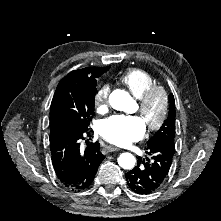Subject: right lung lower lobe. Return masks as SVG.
Listing matches in <instances>:
<instances>
[{"mask_svg":"<svg viewBox=\"0 0 221 221\" xmlns=\"http://www.w3.org/2000/svg\"><path fill=\"white\" fill-rule=\"evenodd\" d=\"M87 131H63L50 138L52 164L60 182L72 191L88 188L105 158L98 142L80 150V141Z\"/></svg>","mask_w":221,"mask_h":221,"instance_id":"right-lung-lower-lobe-1","label":"right lung lower lobe"}]
</instances>
